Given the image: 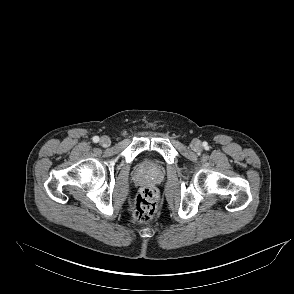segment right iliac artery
Masks as SVG:
<instances>
[{
	"instance_id": "obj_1",
	"label": "right iliac artery",
	"mask_w": 294,
	"mask_h": 294,
	"mask_svg": "<svg viewBox=\"0 0 294 294\" xmlns=\"http://www.w3.org/2000/svg\"><path fill=\"white\" fill-rule=\"evenodd\" d=\"M99 141V137L98 136H94L93 137V142L97 143Z\"/></svg>"
}]
</instances>
